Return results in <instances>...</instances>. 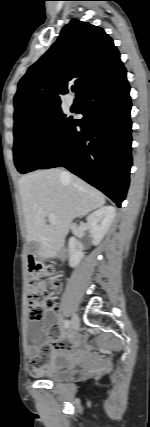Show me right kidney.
I'll return each mask as SVG.
<instances>
[{
	"instance_id": "ca27d5eb",
	"label": "right kidney",
	"mask_w": 150,
	"mask_h": 427,
	"mask_svg": "<svg viewBox=\"0 0 150 427\" xmlns=\"http://www.w3.org/2000/svg\"><path fill=\"white\" fill-rule=\"evenodd\" d=\"M115 218V208L112 206H104L87 217V225L92 237V244L98 245L106 233L108 232ZM84 258L82 250L77 248L76 238L72 237L69 240V265L76 267Z\"/></svg>"
}]
</instances>
